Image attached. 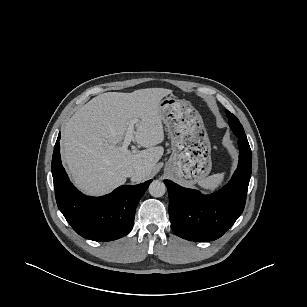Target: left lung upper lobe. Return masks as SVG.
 I'll list each match as a JSON object with an SVG mask.
<instances>
[{"label": "left lung upper lobe", "mask_w": 307, "mask_h": 307, "mask_svg": "<svg viewBox=\"0 0 307 307\" xmlns=\"http://www.w3.org/2000/svg\"><path fill=\"white\" fill-rule=\"evenodd\" d=\"M226 113H227V117L229 119V125H230L232 131L234 132V134L238 138L247 140L244 129H243L241 123L239 122V120L232 113H230L228 110H226Z\"/></svg>", "instance_id": "1"}]
</instances>
